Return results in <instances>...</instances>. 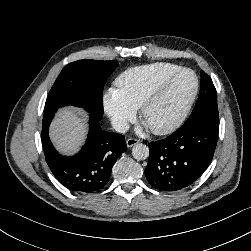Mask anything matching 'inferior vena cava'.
<instances>
[{
  "label": "inferior vena cava",
  "instance_id": "inferior-vena-cava-1",
  "mask_svg": "<svg viewBox=\"0 0 251 251\" xmlns=\"http://www.w3.org/2000/svg\"><path fill=\"white\" fill-rule=\"evenodd\" d=\"M112 127L119 133H125L129 129V123L126 120L114 118L111 121Z\"/></svg>",
  "mask_w": 251,
  "mask_h": 251
}]
</instances>
